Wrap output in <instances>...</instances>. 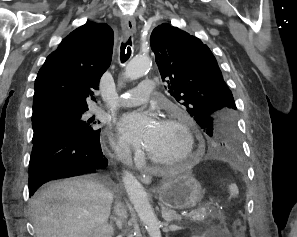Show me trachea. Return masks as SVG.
<instances>
[{
    "mask_svg": "<svg viewBox=\"0 0 297 237\" xmlns=\"http://www.w3.org/2000/svg\"><path fill=\"white\" fill-rule=\"evenodd\" d=\"M131 45V37H129V39L126 42H122L120 48V59L122 63L126 62L131 56Z\"/></svg>",
    "mask_w": 297,
    "mask_h": 237,
    "instance_id": "obj_1",
    "label": "trachea"
}]
</instances>
